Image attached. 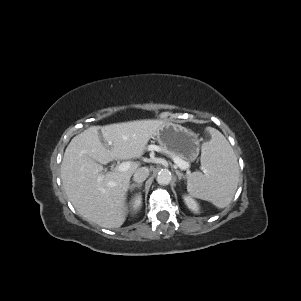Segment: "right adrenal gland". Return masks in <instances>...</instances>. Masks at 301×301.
<instances>
[{"label":"right adrenal gland","mask_w":301,"mask_h":301,"mask_svg":"<svg viewBox=\"0 0 301 301\" xmlns=\"http://www.w3.org/2000/svg\"><path fill=\"white\" fill-rule=\"evenodd\" d=\"M142 186V183H133L132 185L129 186L130 191H132L135 187L140 188Z\"/></svg>","instance_id":"2a0ac1e0"}]
</instances>
